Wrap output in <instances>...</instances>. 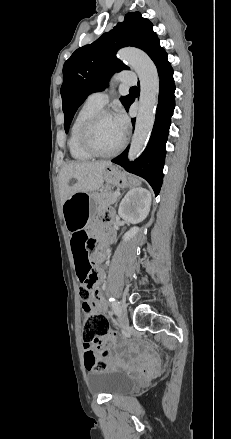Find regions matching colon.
<instances>
[{
	"label": "colon",
	"instance_id": "colon-1",
	"mask_svg": "<svg viewBox=\"0 0 231 439\" xmlns=\"http://www.w3.org/2000/svg\"><path fill=\"white\" fill-rule=\"evenodd\" d=\"M84 239L83 236H77L76 241ZM77 275L80 279V296L83 300V311L85 319L83 324V338L87 343L97 342L98 338L105 336L109 332L107 319L101 314H94L91 309L95 300L94 285L96 282V275L92 272V267L89 262L79 264ZM168 363V360H167ZM84 365L87 369L92 371L106 369L108 362L102 359H97L92 351L85 352Z\"/></svg>",
	"mask_w": 231,
	"mask_h": 439
}]
</instances>
